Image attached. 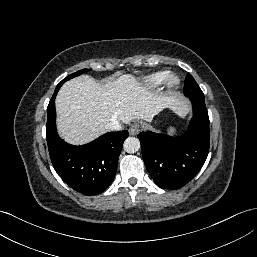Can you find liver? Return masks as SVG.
I'll use <instances>...</instances> for the list:
<instances>
[{"label": "liver", "mask_w": 257, "mask_h": 257, "mask_svg": "<svg viewBox=\"0 0 257 257\" xmlns=\"http://www.w3.org/2000/svg\"><path fill=\"white\" fill-rule=\"evenodd\" d=\"M164 108L184 109L182 101L151 93L131 74L105 84L82 75L66 82L57 94V129L68 143L82 145L103 134L113 119L124 124L152 121Z\"/></svg>", "instance_id": "6515ba94"}]
</instances>
